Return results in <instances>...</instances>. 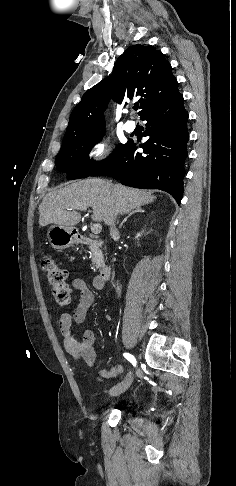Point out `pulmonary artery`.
I'll return each mask as SVG.
<instances>
[{
	"label": "pulmonary artery",
	"mask_w": 236,
	"mask_h": 486,
	"mask_svg": "<svg viewBox=\"0 0 236 486\" xmlns=\"http://www.w3.org/2000/svg\"><path fill=\"white\" fill-rule=\"evenodd\" d=\"M124 129H125L127 132H129V133L134 132V131H135V129H136V123H135V121H133V120H128V121L125 123V125H124Z\"/></svg>",
	"instance_id": "e3ab8cb5"
}]
</instances>
